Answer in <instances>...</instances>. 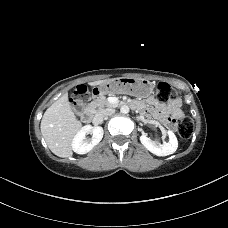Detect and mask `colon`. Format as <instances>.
I'll list each match as a JSON object with an SVG mask.
<instances>
[{
	"label": "colon",
	"instance_id": "5ec220e1",
	"mask_svg": "<svg viewBox=\"0 0 228 228\" xmlns=\"http://www.w3.org/2000/svg\"><path fill=\"white\" fill-rule=\"evenodd\" d=\"M157 97L160 101H173L179 97V92L166 82H160L157 87ZM72 104L76 108L84 107L89 101V93L86 85H78L73 92ZM193 120L190 117H182L177 122L179 135L186 139L193 132Z\"/></svg>",
	"mask_w": 228,
	"mask_h": 228
}]
</instances>
